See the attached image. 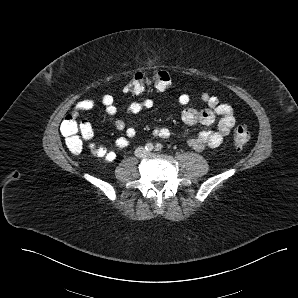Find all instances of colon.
<instances>
[{"instance_id": "obj_1", "label": "colon", "mask_w": 298, "mask_h": 298, "mask_svg": "<svg viewBox=\"0 0 298 298\" xmlns=\"http://www.w3.org/2000/svg\"><path fill=\"white\" fill-rule=\"evenodd\" d=\"M148 85L145 73L136 72L124 87V91L132 96L142 95ZM154 86L158 91H166L171 86V77L167 71L160 70L155 73ZM61 133L65 139L68 150L74 154H79L83 149V143L93 135L92 127L89 123L79 120L70 113L65 116L60 126ZM250 139L249 129L245 125H238L233 132V143L237 147H243Z\"/></svg>"}]
</instances>
